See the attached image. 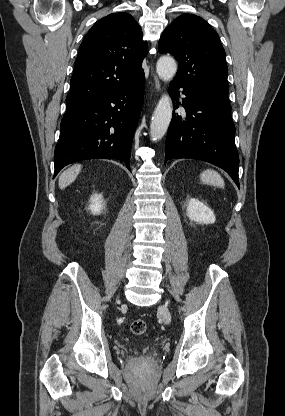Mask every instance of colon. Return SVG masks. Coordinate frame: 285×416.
Listing matches in <instances>:
<instances>
[{"mask_svg":"<svg viewBox=\"0 0 285 416\" xmlns=\"http://www.w3.org/2000/svg\"><path fill=\"white\" fill-rule=\"evenodd\" d=\"M130 329L135 335H143L147 331V324L142 319H136L131 323Z\"/></svg>","mask_w":285,"mask_h":416,"instance_id":"obj_1","label":"colon"}]
</instances>
